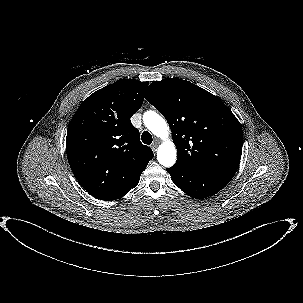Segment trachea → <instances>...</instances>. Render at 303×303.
<instances>
[{
    "instance_id": "3493384b",
    "label": "trachea",
    "mask_w": 303,
    "mask_h": 303,
    "mask_svg": "<svg viewBox=\"0 0 303 303\" xmlns=\"http://www.w3.org/2000/svg\"><path fill=\"white\" fill-rule=\"evenodd\" d=\"M144 144L150 145L153 141L152 135L148 131H144L141 136Z\"/></svg>"
}]
</instances>
